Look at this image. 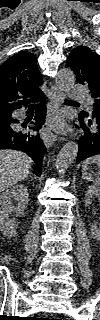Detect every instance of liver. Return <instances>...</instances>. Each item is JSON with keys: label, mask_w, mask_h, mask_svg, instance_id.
<instances>
[{"label": "liver", "mask_w": 100, "mask_h": 320, "mask_svg": "<svg viewBox=\"0 0 100 320\" xmlns=\"http://www.w3.org/2000/svg\"><path fill=\"white\" fill-rule=\"evenodd\" d=\"M31 158L16 150L0 151V191L24 180L31 168Z\"/></svg>", "instance_id": "obj_1"}]
</instances>
